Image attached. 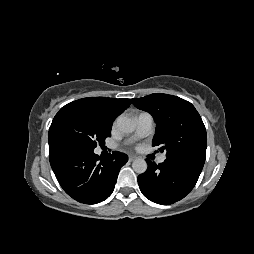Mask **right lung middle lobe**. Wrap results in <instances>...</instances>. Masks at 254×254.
I'll return each instance as SVG.
<instances>
[{"mask_svg":"<svg viewBox=\"0 0 254 254\" xmlns=\"http://www.w3.org/2000/svg\"><path fill=\"white\" fill-rule=\"evenodd\" d=\"M112 124L96 111L88 108H71L55 116L48 139L94 149L111 136Z\"/></svg>","mask_w":254,"mask_h":254,"instance_id":"right-lung-middle-lobe-1","label":"right lung middle lobe"}]
</instances>
